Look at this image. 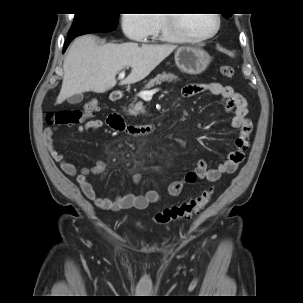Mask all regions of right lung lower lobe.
Segmentation results:
<instances>
[{"label": "right lung lower lobe", "instance_id": "98d812e1", "mask_svg": "<svg viewBox=\"0 0 303 303\" xmlns=\"http://www.w3.org/2000/svg\"><path fill=\"white\" fill-rule=\"evenodd\" d=\"M116 28H110V27H101V28H94V29H90L88 31H86L83 34H89V33H94V32H109V31H113ZM82 35V34H81ZM79 35H73V36H68L67 40L65 41L64 47H63V53L65 52L66 48L68 47L69 43Z\"/></svg>", "mask_w": 303, "mask_h": 303}]
</instances>
